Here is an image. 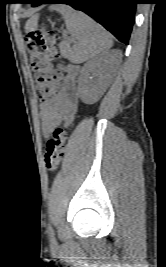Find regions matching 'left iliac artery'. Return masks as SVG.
Returning a JSON list of instances; mask_svg holds the SVG:
<instances>
[{
    "label": "left iliac artery",
    "instance_id": "obj_1",
    "mask_svg": "<svg viewBox=\"0 0 166 267\" xmlns=\"http://www.w3.org/2000/svg\"><path fill=\"white\" fill-rule=\"evenodd\" d=\"M49 232H50L51 238L54 240V232H53L52 227L49 228Z\"/></svg>",
    "mask_w": 166,
    "mask_h": 267
}]
</instances>
